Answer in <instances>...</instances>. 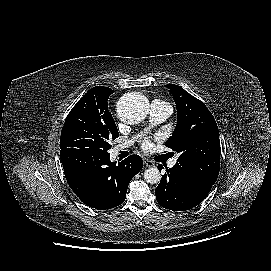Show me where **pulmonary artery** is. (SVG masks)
Masks as SVG:
<instances>
[{
	"instance_id": "obj_1",
	"label": "pulmonary artery",
	"mask_w": 271,
	"mask_h": 271,
	"mask_svg": "<svg viewBox=\"0 0 271 271\" xmlns=\"http://www.w3.org/2000/svg\"><path fill=\"white\" fill-rule=\"evenodd\" d=\"M171 112H172V107L170 106V104H168L167 102L154 100L150 106V119H151L152 124H158V123L163 122L164 120L168 118ZM133 142H134L133 139L129 140L125 142L124 144L120 145L118 149L126 148L129 145H131ZM176 162H177V159H172L169 162V166L173 167L176 164Z\"/></svg>"
}]
</instances>
